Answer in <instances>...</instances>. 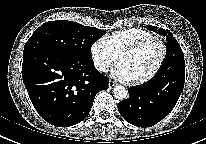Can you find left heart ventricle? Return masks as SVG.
<instances>
[{"label":"left heart ventricle","mask_w":206,"mask_h":144,"mask_svg":"<svg viewBox=\"0 0 206 144\" xmlns=\"http://www.w3.org/2000/svg\"><path fill=\"white\" fill-rule=\"evenodd\" d=\"M160 56V47L151 43L141 50L124 56L120 63L125 65L133 80L140 79L150 73Z\"/></svg>","instance_id":"1"}]
</instances>
